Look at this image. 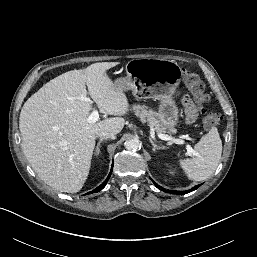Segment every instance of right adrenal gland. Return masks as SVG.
Returning a JSON list of instances; mask_svg holds the SVG:
<instances>
[{"label":"right adrenal gland","mask_w":257,"mask_h":257,"mask_svg":"<svg viewBox=\"0 0 257 257\" xmlns=\"http://www.w3.org/2000/svg\"><path fill=\"white\" fill-rule=\"evenodd\" d=\"M104 140H107V139H106V138H101V139L99 140V142L97 143V146H96V149H95V152H94L95 155H99V153H100V145H101V143H102Z\"/></svg>","instance_id":"obj_1"}]
</instances>
